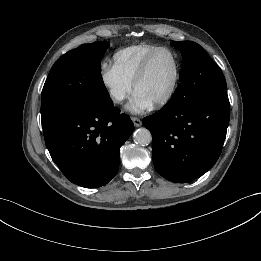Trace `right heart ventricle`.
Masks as SVG:
<instances>
[{
    "mask_svg": "<svg viewBox=\"0 0 261 261\" xmlns=\"http://www.w3.org/2000/svg\"><path fill=\"white\" fill-rule=\"evenodd\" d=\"M160 46L151 44L131 45L117 50L112 56V67L125 79L133 83L144 59Z\"/></svg>",
    "mask_w": 261,
    "mask_h": 261,
    "instance_id": "obj_1",
    "label": "right heart ventricle"
}]
</instances>
